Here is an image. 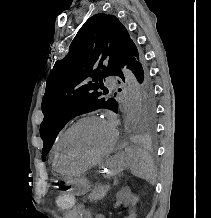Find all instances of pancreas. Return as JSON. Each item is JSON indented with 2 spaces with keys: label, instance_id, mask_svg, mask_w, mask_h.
Wrapping results in <instances>:
<instances>
[{
  "label": "pancreas",
  "instance_id": "cf45deb5",
  "mask_svg": "<svg viewBox=\"0 0 211 218\" xmlns=\"http://www.w3.org/2000/svg\"><path fill=\"white\" fill-rule=\"evenodd\" d=\"M107 188L108 186H98V188H94V190H92L91 194H89L87 198H89L91 202L92 200H102V198L106 196Z\"/></svg>",
  "mask_w": 211,
  "mask_h": 218
}]
</instances>
